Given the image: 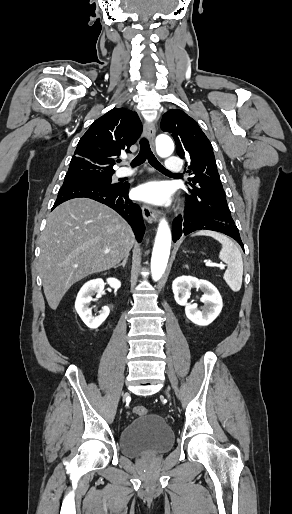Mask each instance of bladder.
Wrapping results in <instances>:
<instances>
[{
	"mask_svg": "<svg viewBox=\"0 0 292 514\" xmlns=\"http://www.w3.org/2000/svg\"><path fill=\"white\" fill-rule=\"evenodd\" d=\"M174 434L165 419L154 413L138 416L121 431L119 447L128 457H141L168 451Z\"/></svg>",
	"mask_w": 292,
	"mask_h": 514,
	"instance_id": "31cf9c89",
	"label": "bladder"
}]
</instances>
